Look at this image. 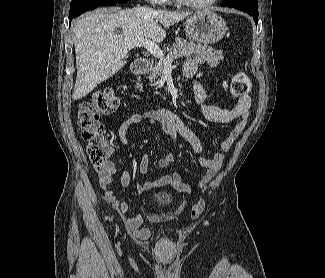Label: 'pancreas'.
Instances as JSON below:
<instances>
[{
    "instance_id": "cf45deb5",
    "label": "pancreas",
    "mask_w": 325,
    "mask_h": 278,
    "mask_svg": "<svg viewBox=\"0 0 325 278\" xmlns=\"http://www.w3.org/2000/svg\"><path fill=\"white\" fill-rule=\"evenodd\" d=\"M182 57H193L199 63H208L209 65H218L223 60V54L220 50L207 47L200 43L188 42L187 40L177 38L166 58L175 60ZM164 63L159 61L152 64L148 79L151 82L158 80L163 72Z\"/></svg>"
}]
</instances>
